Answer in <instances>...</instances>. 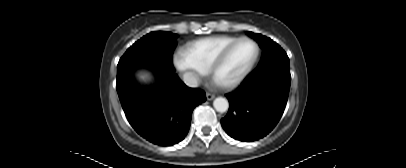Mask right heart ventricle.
Masks as SVG:
<instances>
[{"label":"right heart ventricle","instance_id":"obj_1","mask_svg":"<svg viewBox=\"0 0 406 168\" xmlns=\"http://www.w3.org/2000/svg\"><path fill=\"white\" fill-rule=\"evenodd\" d=\"M235 39L237 38L232 36L201 38L189 42L185 47V52L195 65L207 72L219 52Z\"/></svg>","mask_w":406,"mask_h":168}]
</instances>
